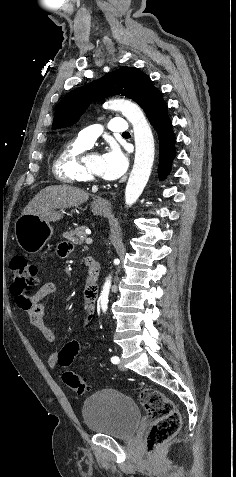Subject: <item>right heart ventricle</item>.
Wrapping results in <instances>:
<instances>
[{"label": "right heart ventricle", "instance_id": "1", "mask_svg": "<svg viewBox=\"0 0 236 477\" xmlns=\"http://www.w3.org/2000/svg\"><path fill=\"white\" fill-rule=\"evenodd\" d=\"M88 148L77 140L66 145L54 162V173L60 181L68 184H83L89 181L81 162V155Z\"/></svg>", "mask_w": 236, "mask_h": 477}]
</instances>
